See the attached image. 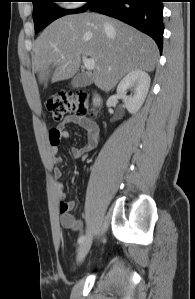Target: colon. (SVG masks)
<instances>
[{"mask_svg":"<svg viewBox=\"0 0 195 299\" xmlns=\"http://www.w3.org/2000/svg\"><path fill=\"white\" fill-rule=\"evenodd\" d=\"M46 108L55 122L61 121L69 113L79 116L92 113L87 94L81 91L51 96L46 101Z\"/></svg>","mask_w":195,"mask_h":299,"instance_id":"1","label":"colon"}]
</instances>
